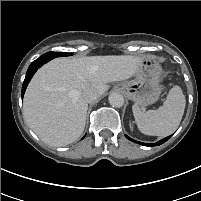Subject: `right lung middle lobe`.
Segmentation results:
<instances>
[{
    "label": "right lung middle lobe",
    "instance_id": "1",
    "mask_svg": "<svg viewBox=\"0 0 201 201\" xmlns=\"http://www.w3.org/2000/svg\"><path fill=\"white\" fill-rule=\"evenodd\" d=\"M46 55L53 56V58H55V57H62V56H70L72 54L64 53V52H48V53H46Z\"/></svg>",
    "mask_w": 201,
    "mask_h": 201
}]
</instances>
